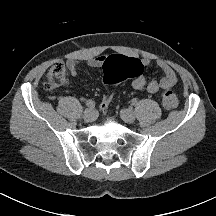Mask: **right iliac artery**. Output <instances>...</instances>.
I'll return each mask as SVG.
<instances>
[{"instance_id": "82829eb1", "label": "right iliac artery", "mask_w": 216, "mask_h": 216, "mask_svg": "<svg viewBox=\"0 0 216 216\" xmlns=\"http://www.w3.org/2000/svg\"><path fill=\"white\" fill-rule=\"evenodd\" d=\"M86 106L90 107V108H93L95 106V103H94L93 100H87L86 101Z\"/></svg>"}]
</instances>
